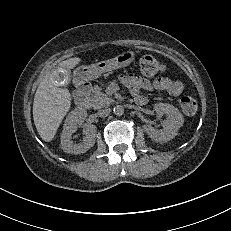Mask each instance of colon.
Here are the masks:
<instances>
[{
  "instance_id": "1",
  "label": "colon",
  "mask_w": 231,
  "mask_h": 231,
  "mask_svg": "<svg viewBox=\"0 0 231 231\" xmlns=\"http://www.w3.org/2000/svg\"><path fill=\"white\" fill-rule=\"evenodd\" d=\"M140 71L143 75L153 77L164 72L165 66L155 57L146 55L140 59ZM180 106L182 111L187 115L196 113L198 105L194 98L190 96H183L180 99Z\"/></svg>"
}]
</instances>
